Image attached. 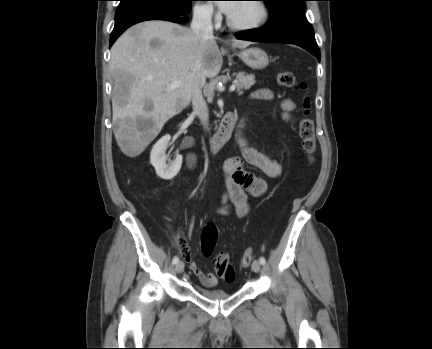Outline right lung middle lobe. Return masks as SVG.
Listing matches in <instances>:
<instances>
[{"instance_id": "1", "label": "right lung middle lobe", "mask_w": 432, "mask_h": 349, "mask_svg": "<svg viewBox=\"0 0 432 349\" xmlns=\"http://www.w3.org/2000/svg\"><path fill=\"white\" fill-rule=\"evenodd\" d=\"M193 0H120L119 10L141 3H157L173 9L185 10L191 7Z\"/></svg>"}]
</instances>
